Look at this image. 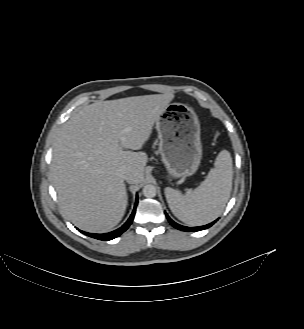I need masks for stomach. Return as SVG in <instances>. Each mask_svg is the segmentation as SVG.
Segmentation results:
<instances>
[{"mask_svg":"<svg viewBox=\"0 0 304 329\" xmlns=\"http://www.w3.org/2000/svg\"><path fill=\"white\" fill-rule=\"evenodd\" d=\"M159 152L168 175H193L202 158L200 122L194 110L182 103L168 104L156 121Z\"/></svg>","mask_w":304,"mask_h":329,"instance_id":"1","label":"stomach"}]
</instances>
